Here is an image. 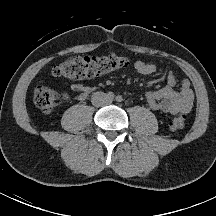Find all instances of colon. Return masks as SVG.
Listing matches in <instances>:
<instances>
[{
  "label": "colon",
  "mask_w": 216,
  "mask_h": 216,
  "mask_svg": "<svg viewBox=\"0 0 216 216\" xmlns=\"http://www.w3.org/2000/svg\"><path fill=\"white\" fill-rule=\"evenodd\" d=\"M130 65V60L122 55L74 56L56 65L52 75L58 78L85 79L92 78ZM66 99L44 85H38L34 92V103L43 112L49 113ZM186 123V116L178 114L170 118L168 126L173 131L181 130Z\"/></svg>",
  "instance_id": "1"
}]
</instances>
